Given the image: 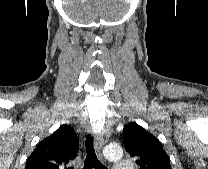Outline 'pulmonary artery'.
<instances>
[{
    "instance_id": "obj_1",
    "label": "pulmonary artery",
    "mask_w": 208,
    "mask_h": 169,
    "mask_svg": "<svg viewBox=\"0 0 208 169\" xmlns=\"http://www.w3.org/2000/svg\"><path fill=\"white\" fill-rule=\"evenodd\" d=\"M113 169H133V164L131 160L119 159Z\"/></svg>"
}]
</instances>
